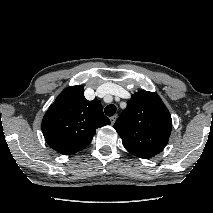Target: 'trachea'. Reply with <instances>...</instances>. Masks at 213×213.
<instances>
[{"label":"trachea","instance_id":"obj_1","mask_svg":"<svg viewBox=\"0 0 213 213\" xmlns=\"http://www.w3.org/2000/svg\"><path fill=\"white\" fill-rule=\"evenodd\" d=\"M104 112L107 116H113L116 113V106L110 104L107 107H105Z\"/></svg>","mask_w":213,"mask_h":213}]
</instances>
